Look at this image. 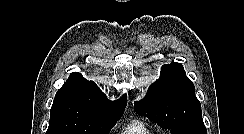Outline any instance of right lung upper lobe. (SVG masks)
<instances>
[{
	"label": "right lung upper lobe",
	"mask_w": 244,
	"mask_h": 134,
	"mask_svg": "<svg viewBox=\"0 0 244 134\" xmlns=\"http://www.w3.org/2000/svg\"><path fill=\"white\" fill-rule=\"evenodd\" d=\"M126 95L110 101L100 88L80 73L74 72L57 91L50 114L79 118H107L123 114Z\"/></svg>",
	"instance_id": "cb5924a9"
}]
</instances>
